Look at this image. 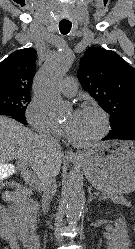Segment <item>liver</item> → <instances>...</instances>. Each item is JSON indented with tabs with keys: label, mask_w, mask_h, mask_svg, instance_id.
I'll return each mask as SVG.
<instances>
[{
	"label": "liver",
	"mask_w": 135,
	"mask_h": 249,
	"mask_svg": "<svg viewBox=\"0 0 135 249\" xmlns=\"http://www.w3.org/2000/svg\"><path fill=\"white\" fill-rule=\"evenodd\" d=\"M16 159L27 162L33 169L35 188H39L40 178L45 174H59L62 164L61 150L55 151L43 137L17 121L0 116V165ZM5 186L19 187V184L0 176V187Z\"/></svg>",
	"instance_id": "6515ba94"
}]
</instances>
